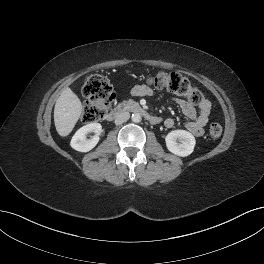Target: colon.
<instances>
[{
	"instance_id": "5ec220e1",
	"label": "colon",
	"mask_w": 264,
	"mask_h": 264,
	"mask_svg": "<svg viewBox=\"0 0 264 264\" xmlns=\"http://www.w3.org/2000/svg\"><path fill=\"white\" fill-rule=\"evenodd\" d=\"M146 83L156 89H166L179 96H183L191 104L203 101L201 91L192 85L185 77L178 73L159 71L147 78ZM85 98L82 120L93 123L102 120L115 99V92L109 80L102 75H92L82 88ZM222 126L213 122L209 127V136L213 139L220 137Z\"/></svg>"
}]
</instances>
